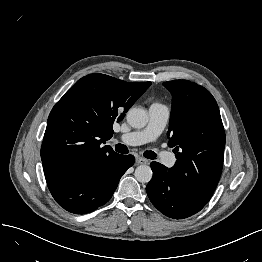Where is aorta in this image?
<instances>
[{"label":"aorta","instance_id":"aorta-1","mask_svg":"<svg viewBox=\"0 0 262 262\" xmlns=\"http://www.w3.org/2000/svg\"><path fill=\"white\" fill-rule=\"evenodd\" d=\"M127 122L133 128H143L148 123V114L142 108H131L127 112ZM135 178L141 183H148L152 179V170L148 165H140L135 170Z\"/></svg>","mask_w":262,"mask_h":262}]
</instances>
